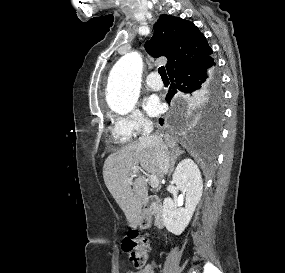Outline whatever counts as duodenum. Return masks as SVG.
<instances>
[{
  "mask_svg": "<svg viewBox=\"0 0 285 273\" xmlns=\"http://www.w3.org/2000/svg\"><path fill=\"white\" fill-rule=\"evenodd\" d=\"M162 211L160 199L156 196H148L144 204L140 224L146 225L153 219L155 226L157 228H162L164 226Z\"/></svg>",
  "mask_w": 285,
  "mask_h": 273,
  "instance_id": "obj_1",
  "label": "duodenum"
}]
</instances>
